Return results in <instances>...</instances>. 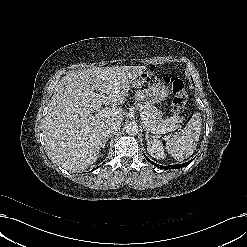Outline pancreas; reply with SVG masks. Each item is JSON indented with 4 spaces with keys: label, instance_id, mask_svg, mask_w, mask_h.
Listing matches in <instances>:
<instances>
[{
    "label": "pancreas",
    "instance_id": "cf45deb5",
    "mask_svg": "<svg viewBox=\"0 0 247 247\" xmlns=\"http://www.w3.org/2000/svg\"><path fill=\"white\" fill-rule=\"evenodd\" d=\"M136 109L141 111L148 118V127L159 133L160 130L171 128L176 125L182 118L171 117L166 120L162 119V113L149 102H139L137 99Z\"/></svg>",
    "mask_w": 247,
    "mask_h": 247
}]
</instances>
